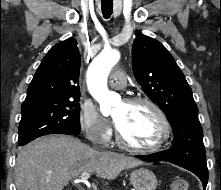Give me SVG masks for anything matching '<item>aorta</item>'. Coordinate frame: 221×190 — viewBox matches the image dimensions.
Wrapping results in <instances>:
<instances>
[{
    "label": "aorta",
    "instance_id": "obj_1",
    "mask_svg": "<svg viewBox=\"0 0 221 190\" xmlns=\"http://www.w3.org/2000/svg\"><path fill=\"white\" fill-rule=\"evenodd\" d=\"M120 54L113 49L103 50L92 61L87 72V85L90 94L99 102L103 116L111 113L112 105L119 102V97L110 92L107 78L112 67L119 61Z\"/></svg>",
    "mask_w": 221,
    "mask_h": 190
}]
</instances>
